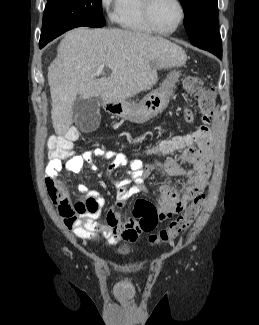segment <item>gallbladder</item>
Listing matches in <instances>:
<instances>
[{"label":"gallbladder","instance_id":"1","mask_svg":"<svg viewBox=\"0 0 259 325\" xmlns=\"http://www.w3.org/2000/svg\"><path fill=\"white\" fill-rule=\"evenodd\" d=\"M77 124L84 131L94 130L100 123L99 104L96 98L84 99L77 96L72 105Z\"/></svg>","mask_w":259,"mask_h":325}]
</instances>
